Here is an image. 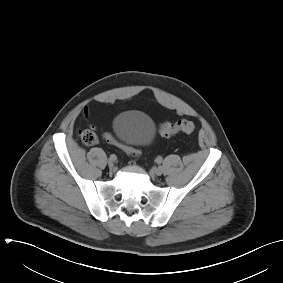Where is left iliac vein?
<instances>
[{
    "mask_svg": "<svg viewBox=\"0 0 283 283\" xmlns=\"http://www.w3.org/2000/svg\"><path fill=\"white\" fill-rule=\"evenodd\" d=\"M154 173H155L157 176L162 175V173H163V168H162L161 166L156 167V168L154 169Z\"/></svg>",
    "mask_w": 283,
    "mask_h": 283,
    "instance_id": "1",
    "label": "left iliac vein"
}]
</instances>
